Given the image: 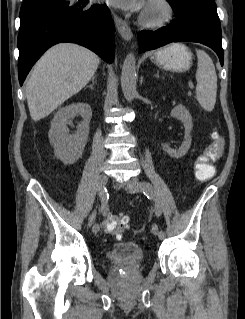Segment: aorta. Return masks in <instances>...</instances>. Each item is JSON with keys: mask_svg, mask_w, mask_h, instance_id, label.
<instances>
[{"mask_svg": "<svg viewBox=\"0 0 245 319\" xmlns=\"http://www.w3.org/2000/svg\"><path fill=\"white\" fill-rule=\"evenodd\" d=\"M136 78V59L133 53H129L124 60L121 74V87L128 102L133 101L137 95Z\"/></svg>", "mask_w": 245, "mask_h": 319, "instance_id": "1", "label": "aorta"}]
</instances>
